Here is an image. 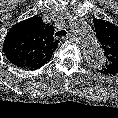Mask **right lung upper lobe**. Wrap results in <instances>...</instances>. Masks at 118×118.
<instances>
[{"mask_svg": "<svg viewBox=\"0 0 118 118\" xmlns=\"http://www.w3.org/2000/svg\"><path fill=\"white\" fill-rule=\"evenodd\" d=\"M54 29L42 22L40 17H31L14 25L7 33L3 51L14 65L35 70L52 57L58 41Z\"/></svg>", "mask_w": 118, "mask_h": 118, "instance_id": "right-lung-upper-lobe-1", "label": "right lung upper lobe"}]
</instances>
